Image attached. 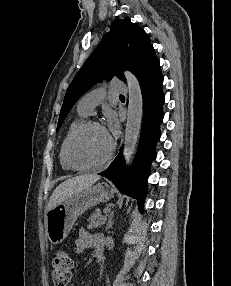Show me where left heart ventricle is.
<instances>
[{
  "instance_id": "1",
  "label": "left heart ventricle",
  "mask_w": 231,
  "mask_h": 286,
  "mask_svg": "<svg viewBox=\"0 0 231 286\" xmlns=\"http://www.w3.org/2000/svg\"><path fill=\"white\" fill-rule=\"evenodd\" d=\"M111 147V136L99 127H90L82 132L72 146V157L79 164L102 160Z\"/></svg>"
}]
</instances>
